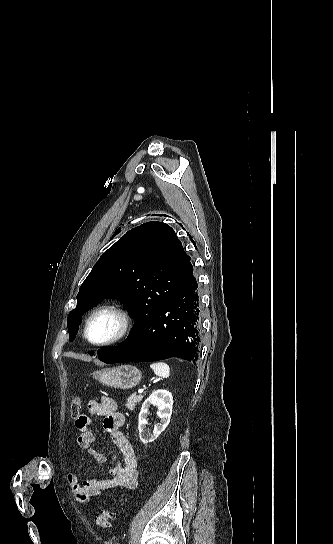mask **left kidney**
I'll list each match as a JSON object with an SVG mask.
<instances>
[{
	"mask_svg": "<svg viewBox=\"0 0 333 544\" xmlns=\"http://www.w3.org/2000/svg\"><path fill=\"white\" fill-rule=\"evenodd\" d=\"M151 405L158 407L157 416L161 419L160 423L154 426L153 433L146 429L148 409ZM172 407L173 396L167 390H156L145 400L138 420L139 438L143 444L153 442L166 429L170 422Z\"/></svg>",
	"mask_w": 333,
	"mask_h": 544,
	"instance_id": "left-kidney-1",
	"label": "left kidney"
}]
</instances>
